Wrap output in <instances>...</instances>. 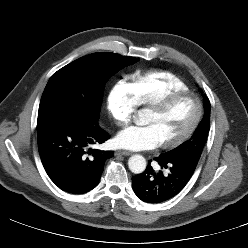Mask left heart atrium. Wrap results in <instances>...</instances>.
Instances as JSON below:
<instances>
[{"label":"left heart atrium","mask_w":248,"mask_h":248,"mask_svg":"<svg viewBox=\"0 0 248 248\" xmlns=\"http://www.w3.org/2000/svg\"><path fill=\"white\" fill-rule=\"evenodd\" d=\"M116 144L129 150H148L160 145L159 136L152 125L131 126L120 131Z\"/></svg>","instance_id":"1"}]
</instances>
